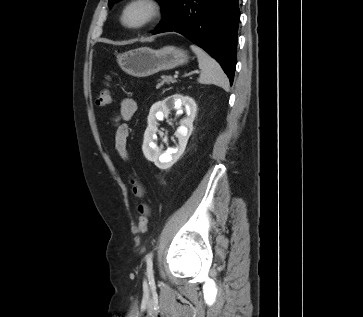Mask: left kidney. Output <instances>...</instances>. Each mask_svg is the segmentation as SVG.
Here are the masks:
<instances>
[{"instance_id": "5707ae66", "label": "left kidney", "mask_w": 363, "mask_h": 317, "mask_svg": "<svg viewBox=\"0 0 363 317\" xmlns=\"http://www.w3.org/2000/svg\"><path fill=\"white\" fill-rule=\"evenodd\" d=\"M184 105L187 117L181 121L177 128L175 136L178 138L179 145L176 148H170L165 153L153 142L157 133V120H163L168 117L171 108L178 109L182 113L181 106ZM197 105L189 96L175 94L167 97L152 105L148 116V127L144 134L142 150L144 156L154 162L160 169L170 168L184 153L188 139L193 130V121L195 119Z\"/></svg>"}]
</instances>
